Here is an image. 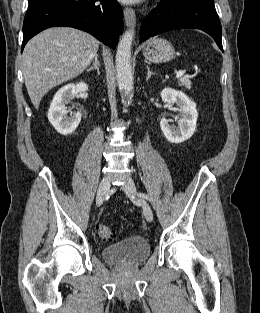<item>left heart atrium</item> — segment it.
Masks as SVG:
<instances>
[{
    "label": "left heart atrium",
    "mask_w": 260,
    "mask_h": 313,
    "mask_svg": "<svg viewBox=\"0 0 260 313\" xmlns=\"http://www.w3.org/2000/svg\"><path fill=\"white\" fill-rule=\"evenodd\" d=\"M122 1L128 2V3H134V2H137V1H139V0H122Z\"/></svg>",
    "instance_id": "1"
}]
</instances>
